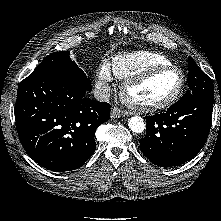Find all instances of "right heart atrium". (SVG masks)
Here are the masks:
<instances>
[{
    "instance_id": "d8ad5b80",
    "label": "right heart atrium",
    "mask_w": 221,
    "mask_h": 221,
    "mask_svg": "<svg viewBox=\"0 0 221 221\" xmlns=\"http://www.w3.org/2000/svg\"><path fill=\"white\" fill-rule=\"evenodd\" d=\"M96 86L102 95L109 91L110 83L112 82V71L108 62H102L96 70Z\"/></svg>"
}]
</instances>
